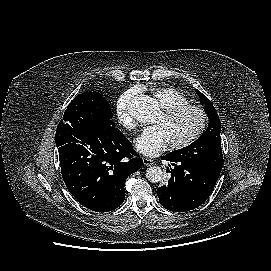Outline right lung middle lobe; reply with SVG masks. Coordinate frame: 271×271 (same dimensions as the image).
Returning <instances> with one entry per match:
<instances>
[{
    "instance_id": "1",
    "label": "right lung middle lobe",
    "mask_w": 271,
    "mask_h": 271,
    "mask_svg": "<svg viewBox=\"0 0 271 271\" xmlns=\"http://www.w3.org/2000/svg\"><path fill=\"white\" fill-rule=\"evenodd\" d=\"M112 113L106 99L99 93L85 92L77 95L65 110L63 121H82L90 124L103 123L114 126Z\"/></svg>"
}]
</instances>
